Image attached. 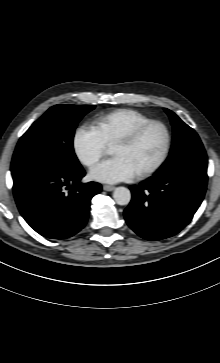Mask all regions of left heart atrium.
I'll list each match as a JSON object with an SVG mask.
<instances>
[{"instance_id":"1","label":"left heart atrium","mask_w":220,"mask_h":363,"mask_svg":"<svg viewBox=\"0 0 220 363\" xmlns=\"http://www.w3.org/2000/svg\"><path fill=\"white\" fill-rule=\"evenodd\" d=\"M136 175L137 173L131 164L121 156L104 160L90 171L92 179L106 183L128 181Z\"/></svg>"}]
</instances>
